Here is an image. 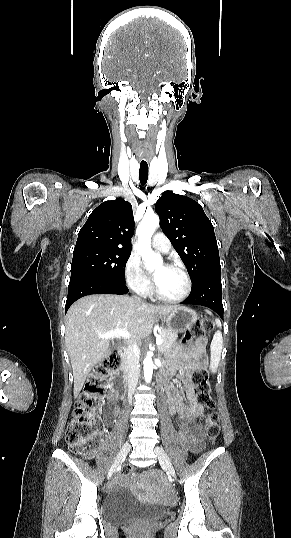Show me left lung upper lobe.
I'll return each mask as SVG.
<instances>
[{"mask_svg":"<svg viewBox=\"0 0 291 538\" xmlns=\"http://www.w3.org/2000/svg\"><path fill=\"white\" fill-rule=\"evenodd\" d=\"M161 228L184 262L195 286L220 274L214 228L201 205L193 199L165 191L156 202Z\"/></svg>","mask_w":291,"mask_h":538,"instance_id":"obj_1","label":"left lung upper lobe"}]
</instances>
